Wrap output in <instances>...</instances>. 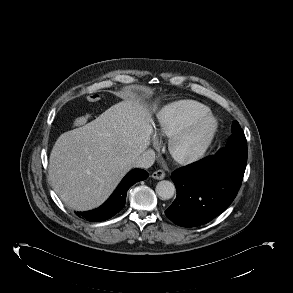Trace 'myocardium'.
<instances>
[{"label": "myocardium", "instance_id": "f54148a6", "mask_svg": "<svg viewBox=\"0 0 293 293\" xmlns=\"http://www.w3.org/2000/svg\"><path fill=\"white\" fill-rule=\"evenodd\" d=\"M217 129L218 122L213 115L206 113L198 116L170 137L168 151L178 163L184 165L192 164L205 154L216 135ZM197 130L203 131L198 146L189 154H180L177 151L179 143Z\"/></svg>", "mask_w": 293, "mask_h": 293}]
</instances>
